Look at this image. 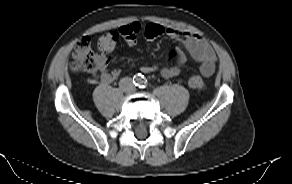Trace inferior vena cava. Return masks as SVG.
Segmentation results:
<instances>
[{
    "label": "inferior vena cava",
    "mask_w": 292,
    "mask_h": 184,
    "mask_svg": "<svg viewBox=\"0 0 292 184\" xmlns=\"http://www.w3.org/2000/svg\"><path fill=\"white\" fill-rule=\"evenodd\" d=\"M119 87L124 92H132L135 89L132 79L129 77L122 78L119 82Z\"/></svg>",
    "instance_id": "1"
}]
</instances>
